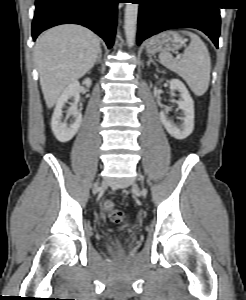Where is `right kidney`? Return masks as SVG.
Returning <instances> with one entry per match:
<instances>
[{
    "label": "right kidney",
    "instance_id": "1",
    "mask_svg": "<svg viewBox=\"0 0 246 300\" xmlns=\"http://www.w3.org/2000/svg\"><path fill=\"white\" fill-rule=\"evenodd\" d=\"M84 84L87 87H90L91 79L86 78L84 80ZM79 92L80 83L77 80L71 82L60 95L54 109L51 120V128L56 139L62 143L70 141L77 133L82 123V114L77 108V99L79 98ZM71 97L75 99V102L71 104L70 108L67 110V116H73L75 118V121L68 126L65 122H62V108Z\"/></svg>",
    "mask_w": 246,
    "mask_h": 300
}]
</instances>
